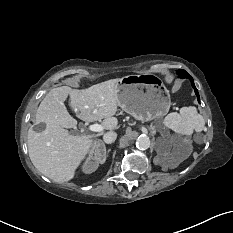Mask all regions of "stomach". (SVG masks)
I'll return each instance as SVG.
<instances>
[{"mask_svg": "<svg viewBox=\"0 0 233 233\" xmlns=\"http://www.w3.org/2000/svg\"><path fill=\"white\" fill-rule=\"evenodd\" d=\"M118 105L136 120L150 121L167 114L170 95L155 74L128 75L117 85Z\"/></svg>", "mask_w": 233, "mask_h": 233, "instance_id": "stomach-1", "label": "stomach"}]
</instances>
